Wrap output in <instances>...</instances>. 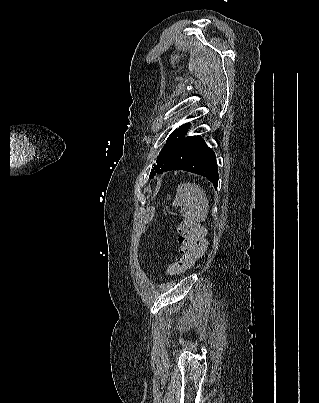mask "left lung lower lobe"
Wrapping results in <instances>:
<instances>
[{"label":"left lung lower lobe","mask_w":319,"mask_h":403,"mask_svg":"<svg viewBox=\"0 0 319 403\" xmlns=\"http://www.w3.org/2000/svg\"><path fill=\"white\" fill-rule=\"evenodd\" d=\"M170 170H185L199 174L210 180L217 188L216 156L200 136H188L184 139L164 171Z\"/></svg>","instance_id":"obj_1"}]
</instances>
